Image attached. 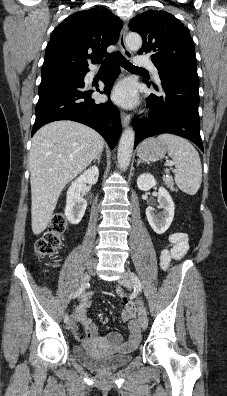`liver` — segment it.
<instances>
[{"mask_svg": "<svg viewBox=\"0 0 227 396\" xmlns=\"http://www.w3.org/2000/svg\"><path fill=\"white\" fill-rule=\"evenodd\" d=\"M103 148L104 139L96 131L73 121H55L35 133L29 156L31 225L35 235L47 228L66 184Z\"/></svg>", "mask_w": 227, "mask_h": 396, "instance_id": "obj_1", "label": "liver"}]
</instances>
